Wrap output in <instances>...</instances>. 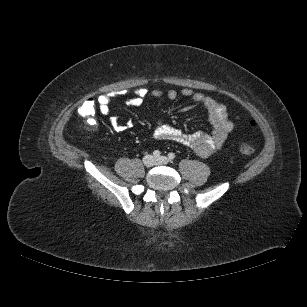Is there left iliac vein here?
Returning <instances> with one entry per match:
<instances>
[{
    "instance_id": "4c4485c4",
    "label": "left iliac vein",
    "mask_w": 307,
    "mask_h": 307,
    "mask_svg": "<svg viewBox=\"0 0 307 307\" xmlns=\"http://www.w3.org/2000/svg\"><path fill=\"white\" fill-rule=\"evenodd\" d=\"M168 163L169 159L166 156H160L159 158L156 159L157 165L168 164Z\"/></svg>"
}]
</instances>
